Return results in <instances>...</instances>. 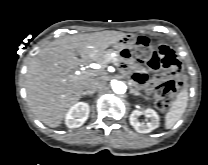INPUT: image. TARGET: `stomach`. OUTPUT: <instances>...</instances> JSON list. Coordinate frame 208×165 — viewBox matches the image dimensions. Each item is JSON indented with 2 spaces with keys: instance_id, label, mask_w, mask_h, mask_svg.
Masks as SVG:
<instances>
[{
  "instance_id": "obj_1",
  "label": "stomach",
  "mask_w": 208,
  "mask_h": 165,
  "mask_svg": "<svg viewBox=\"0 0 208 165\" xmlns=\"http://www.w3.org/2000/svg\"><path fill=\"white\" fill-rule=\"evenodd\" d=\"M137 39L135 37H123L122 39H120L119 41L115 42L113 44V48L115 50H117L118 52H120V50L122 48H133L135 43H136Z\"/></svg>"
}]
</instances>
